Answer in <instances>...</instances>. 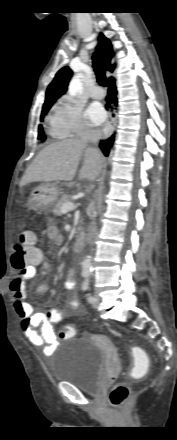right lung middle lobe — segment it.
<instances>
[{"label":"right lung middle lobe","mask_w":177,"mask_h":440,"mask_svg":"<svg viewBox=\"0 0 177 440\" xmlns=\"http://www.w3.org/2000/svg\"><path fill=\"white\" fill-rule=\"evenodd\" d=\"M53 103L54 102L44 103L43 108H42L41 118H40L41 121H43L44 116L47 114V112L49 111V109L51 108ZM38 132H39L38 139L44 141L46 137H45V134L43 132L42 125H39Z\"/></svg>","instance_id":"dd1d6c3e"}]
</instances>
